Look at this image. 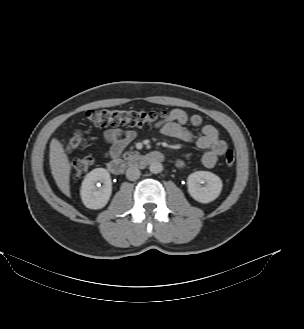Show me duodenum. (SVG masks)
I'll use <instances>...</instances> for the list:
<instances>
[{
  "label": "duodenum",
  "mask_w": 304,
  "mask_h": 329,
  "mask_svg": "<svg viewBox=\"0 0 304 329\" xmlns=\"http://www.w3.org/2000/svg\"><path fill=\"white\" fill-rule=\"evenodd\" d=\"M164 160V155L159 151H149L145 153L132 152L125 159H113L109 162L108 168L111 173L120 175L129 165L142 167L147 164L160 162Z\"/></svg>",
  "instance_id": "1"
}]
</instances>
